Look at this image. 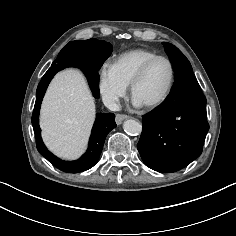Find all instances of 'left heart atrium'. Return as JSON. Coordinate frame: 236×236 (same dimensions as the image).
Masks as SVG:
<instances>
[{"instance_id":"left-heart-atrium-1","label":"left heart atrium","mask_w":236,"mask_h":236,"mask_svg":"<svg viewBox=\"0 0 236 236\" xmlns=\"http://www.w3.org/2000/svg\"><path fill=\"white\" fill-rule=\"evenodd\" d=\"M134 103H135V105H137V106H140V105H141V103H140L137 99H135V98H134Z\"/></svg>"}]
</instances>
